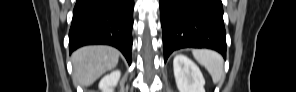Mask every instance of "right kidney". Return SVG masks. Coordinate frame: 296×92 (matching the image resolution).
Segmentation results:
<instances>
[{
  "instance_id": "right-kidney-1",
  "label": "right kidney",
  "mask_w": 296,
  "mask_h": 92,
  "mask_svg": "<svg viewBox=\"0 0 296 92\" xmlns=\"http://www.w3.org/2000/svg\"><path fill=\"white\" fill-rule=\"evenodd\" d=\"M121 76L119 70H114L110 74L105 75L99 82V89L102 92H113Z\"/></svg>"
}]
</instances>
